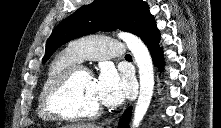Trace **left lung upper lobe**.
<instances>
[{"label":"left lung upper lobe","mask_w":221,"mask_h":128,"mask_svg":"<svg viewBox=\"0 0 221 128\" xmlns=\"http://www.w3.org/2000/svg\"><path fill=\"white\" fill-rule=\"evenodd\" d=\"M154 25L149 7L142 0H94L56 26L47 40L42 62H46L63 44L81 36L119 28L144 41Z\"/></svg>","instance_id":"obj_1"}]
</instances>
